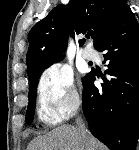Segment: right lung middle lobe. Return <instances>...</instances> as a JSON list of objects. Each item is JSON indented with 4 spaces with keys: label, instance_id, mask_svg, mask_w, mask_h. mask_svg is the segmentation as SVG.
Listing matches in <instances>:
<instances>
[{
    "label": "right lung middle lobe",
    "instance_id": "dd1d6c3e",
    "mask_svg": "<svg viewBox=\"0 0 139 150\" xmlns=\"http://www.w3.org/2000/svg\"><path fill=\"white\" fill-rule=\"evenodd\" d=\"M59 60H61V59H59ZM59 60H57V61H59ZM57 61H55V62H57ZM53 63L45 66L44 68H42L41 70H39L31 79H29V81H30L29 103H28V108H27V112H26V122H27V124H31L32 121H33L34 110H35V99H36L37 85H38L39 77L42 74V72L46 68H48L50 65H52Z\"/></svg>",
    "mask_w": 139,
    "mask_h": 150
}]
</instances>
